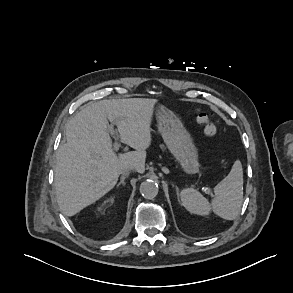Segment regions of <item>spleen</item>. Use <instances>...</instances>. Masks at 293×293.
Masks as SVG:
<instances>
[{"mask_svg":"<svg viewBox=\"0 0 293 293\" xmlns=\"http://www.w3.org/2000/svg\"><path fill=\"white\" fill-rule=\"evenodd\" d=\"M215 198L211 203L193 188L183 189L180 193L182 205L191 213L208 215L212 210L225 220H234L243 203V169L236 160L230 173L214 188Z\"/></svg>","mask_w":293,"mask_h":293,"instance_id":"1","label":"spleen"}]
</instances>
